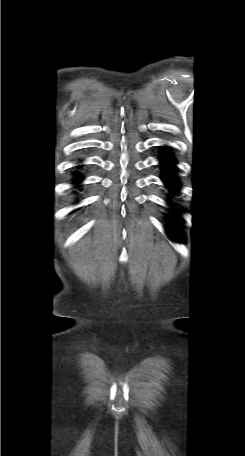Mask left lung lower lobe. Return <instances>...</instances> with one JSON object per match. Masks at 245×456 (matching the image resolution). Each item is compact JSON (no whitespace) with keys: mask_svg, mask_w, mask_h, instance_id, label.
<instances>
[{"mask_svg":"<svg viewBox=\"0 0 245 456\" xmlns=\"http://www.w3.org/2000/svg\"><path fill=\"white\" fill-rule=\"evenodd\" d=\"M160 163L163 168L162 180L164 183L169 186L172 192H175L179 189V181L174 177L173 170L175 168L176 161L174 160L172 154L169 152L167 147L161 152ZM172 220L179 219L178 215L171 217ZM167 232L170 237L177 241H183V235L180 231L179 225L172 224L167 227Z\"/></svg>","mask_w":245,"mask_h":456,"instance_id":"obj_1","label":"left lung lower lobe"}]
</instances>
